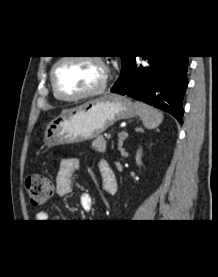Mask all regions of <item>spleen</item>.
Segmentation results:
<instances>
[{
    "mask_svg": "<svg viewBox=\"0 0 218 277\" xmlns=\"http://www.w3.org/2000/svg\"><path fill=\"white\" fill-rule=\"evenodd\" d=\"M134 105H135L137 114L139 115V117L143 122V125L147 129L156 128L161 124L163 120V114L160 111L145 103L138 102V101H135Z\"/></svg>",
    "mask_w": 218,
    "mask_h": 277,
    "instance_id": "obj_1",
    "label": "spleen"
}]
</instances>
